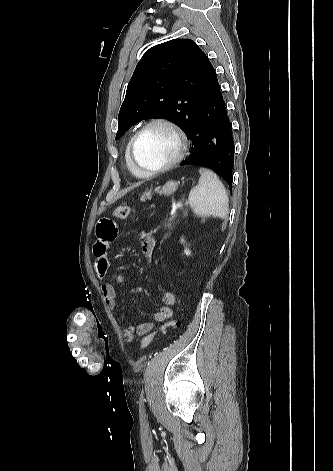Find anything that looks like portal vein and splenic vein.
Instances as JSON below:
<instances>
[{"mask_svg": "<svg viewBox=\"0 0 333 471\" xmlns=\"http://www.w3.org/2000/svg\"><path fill=\"white\" fill-rule=\"evenodd\" d=\"M182 207H183V202L179 201V202L176 203L174 209L176 210V209H179V208H182Z\"/></svg>", "mask_w": 333, "mask_h": 471, "instance_id": "obj_1", "label": "portal vein and splenic vein"}]
</instances>
